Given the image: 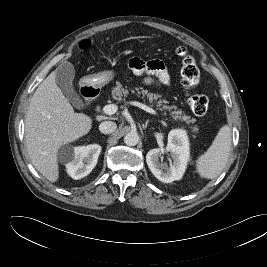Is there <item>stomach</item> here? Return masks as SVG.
I'll return each instance as SVG.
<instances>
[{"mask_svg": "<svg viewBox=\"0 0 267 267\" xmlns=\"http://www.w3.org/2000/svg\"><path fill=\"white\" fill-rule=\"evenodd\" d=\"M115 76L114 71L104 70L98 73L89 75L85 78V82L93 88H101L102 86L113 80Z\"/></svg>", "mask_w": 267, "mask_h": 267, "instance_id": "obj_1", "label": "stomach"}]
</instances>
